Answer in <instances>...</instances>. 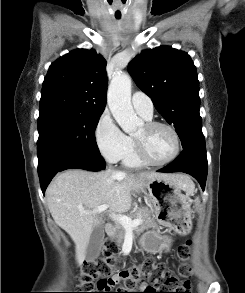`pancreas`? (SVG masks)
<instances>
[{"mask_svg": "<svg viewBox=\"0 0 245 293\" xmlns=\"http://www.w3.org/2000/svg\"><path fill=\"white\" fill-rule=\"evenodd\" d=\"M131 218L141 219L142 224L136 228V232L140 233L148 228H157L156 223L151 217V212L147 208H142L130 215ZM125 228L118 222L115 223L111 238L116 241L117 245H121L125 236Z\"/></svg>", "mask_w": 245, "mask_h": 293, "instance_id": "1", "label": "pancreas"}]
</instances>
